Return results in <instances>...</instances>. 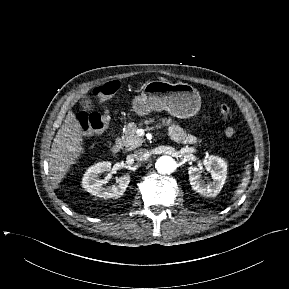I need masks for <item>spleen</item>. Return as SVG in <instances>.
I'll use <instances>...</instances> for the list:
<instances>
[{
    "mask_svg": "<svg viewBox=\"0 0 289 289\" xmlns=\"http://www.w3.org/2000/svg\"><path fill=\"white\" fill-rule=\"evenodd\" d=\"M249 169H250V165H247L246 171H245V176L243 177L241 183L239 184L238 189L235 191V196L233 197V200L238 198L246 190V188L249 184V180H250V170Z\"/></svg>",
    "mask_w": 289,
    "mask_h": 289,
    "instance_id": "1",
    "label": "spleen"
}]
</instances>
